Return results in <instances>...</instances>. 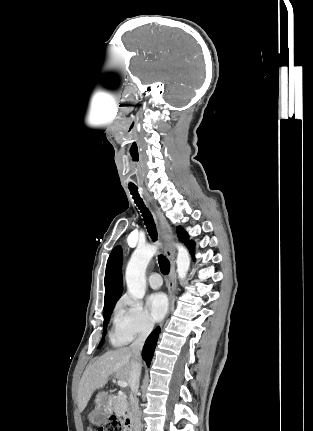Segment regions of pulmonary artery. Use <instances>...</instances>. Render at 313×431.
Wrapping results in <instances>:
<instances>
[{
	"instance_id": "e3ab8cb5",
	"label": "pulmonary artery",
	"mask_w": 313,
	"mask_h": 431,
	"mask_svg": "<svg viewBox=\"0 0 313 431\" xmlns=\"http://www.w3.org/2000/svg\"><path fill=\"white\" fill-rule=\"evenodd\" d=\"M148 283H149L150 287L153 289L160 288L162 285V278H161L160 274H158L156 272L152 273L148 278Z\"/></svg>"
}]
</instances>
